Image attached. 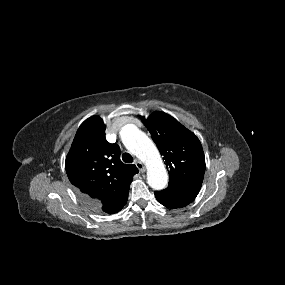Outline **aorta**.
I'll return each instance as SVG.
<instances>
[{
    "label": "aorta",
    "mask_w": 285,
    "mask_h": 285,
    "mask_svg": "<svg viewBox=\"0 0 285 285\" xmlns=\"http://www.w3.org/2000/svg\"><path fill=\"white\" fill-rule=\"evenodd\" d=\"M125 147L147 166V182L155 190L168 183V174L155 144L134 124L125 125L120 132Z\"/></svg>",
    "instance_id": "obj_1"
}]
</instances>
